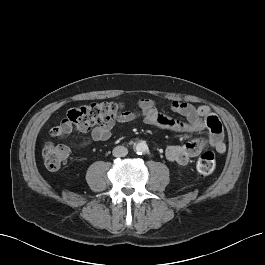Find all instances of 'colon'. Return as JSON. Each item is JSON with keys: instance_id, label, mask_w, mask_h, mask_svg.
Masks as SVG:
<instances>
[{"instance_id": "5ec220e1", "label": "colon", "mask_w": 265, "mask_h": 265, "mask_svg": "<svg viewBox=\"0 0 265 265\" xmlns=\"http://www.w3.org/2000/svg\"><path fill=\"white\" fill-rule=\"evenodd\" d=\"M123 105L115 102H95L70 109L62 121L50 129V135L56 138H66L72 132L85 133L100 122H115L123 115ZM210 131L221 134V123L215 116L208 118ZM70 150L61 144L48 143L42 151L45 166L49 170L59 169L68 159ZM197 170L202 175H210L216 168V157L211 151L201 154L196 163Z\"/></svg>"}]
</instances>
